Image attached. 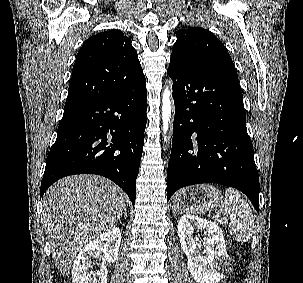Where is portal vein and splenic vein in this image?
Masks as SVG:
<instances>
[{
  "instance_id": "obj_1",
  "label": "portal vein and splenic vein",
  "mask_w": 303,
  "mask_h": 283,
  "mask_svg": "<svg viewBox=\"0 0 303 283\" xmlns=\"http://www.w3.org/2000/svg\"><path fill=\"white\" fill-rule=\"evenodd\" d=\"M221 222H227L226 218L221 219Z\"/></svg>"
}]
</instances>
